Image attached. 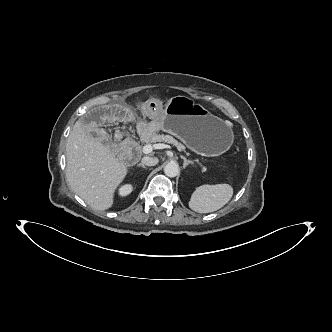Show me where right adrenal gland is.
<instances>
[{
    "instance_id": "right-adrenal-gland-1",
    "label": "right adrenal gland",
    "mask_w": 332,
    "mask_h": 332,
    "mask_svg": "<svg viewBox=\"0 0 332 332\" xmlns=\"http://www.w3.org/2000/svg\"><path fill=\"white\" fill-rule=\"evenodd\" d=\"M137 166L142 167L144 169H147V167L144 164H142V163H139Z\"/></svg>"
}]
</instances>
